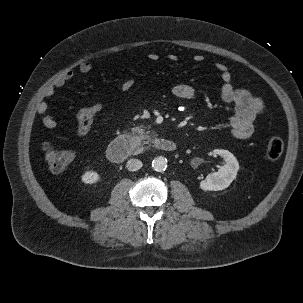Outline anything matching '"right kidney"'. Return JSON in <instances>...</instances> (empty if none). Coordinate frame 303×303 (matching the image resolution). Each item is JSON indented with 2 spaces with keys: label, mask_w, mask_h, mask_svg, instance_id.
I'll use <instances>...</instances> for the list:
<instances>
[{
  "label": "right kidney",
  "mask_w": 303,
  "mask_h": 303,
  "mask_svg": "<svg viewBox=\"0 0 303 303\" xmlns=\"http://www.w3.org/2000/svg\"><path fill=\"white\" fill-rule=\"evenodd\" d=\"M99 174L96 172V171H87L85 172L82 177H81V181L84 183V184H89V185H92L96 182H98L99 180Z\"/></svg>",
  "instance_id": "right-kidney-1"
}]
</instances>
